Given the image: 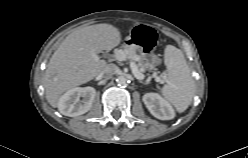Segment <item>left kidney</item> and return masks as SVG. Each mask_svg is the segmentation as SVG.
Wrapping results in <instances>:
<instances>
[{
	"label": "left kidney",
	"instance_id": "1",
	"mask_svg": "<svg viewBox=\"0 0 248 158\" xmlns=\"http://www.w3.org/2000/svg\"><path fill=\"white\" fill-rule=\"evenodd\" d=\"M150 113L160 120H171L175 111L171 104L157 93H146L142 98Z\"/></svg>",
	"mask_w": 248,
	"mask_h": 158
}]
</instances>
